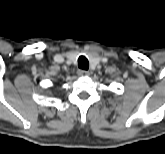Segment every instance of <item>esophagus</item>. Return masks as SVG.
<instances>
[{"label": "esophagus", "instance_id": "esophagus-1", "mask_svg": "<svg viewBox=\"0 0 165 154\" xmlns=\"http://www.w3.org/2000/svg\"><path fill=\"white\" fill-rule=\"evenodd\" d=\"M89 72L83 69L78 70V75L81 77L89 76Z\"/></svg>", "mask_w": 165, "mask_h": 154}]
</instances>
